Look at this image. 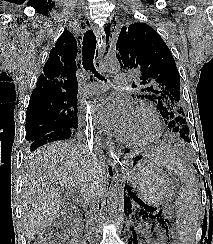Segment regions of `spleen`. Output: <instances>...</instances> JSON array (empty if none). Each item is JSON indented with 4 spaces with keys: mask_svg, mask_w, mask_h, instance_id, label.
I'll return each instance as SVG.
<instances>
[{
    "mask_svg": "<svg viewBox=\"0 0 213 244\" xmlns=\"http://www.w3.org/2000/svg\"><path fill=\"white\" fill-rule=\"evenodd\" d=\"M166 167L181 176L183 187L175 201L178 236L182 244H194L195 235L202 222L199 183L190 166L175 156L164 160Z\"/></svg>",
    "mask_w": 213,
    "mask_h": 244,
    "instance_id": "3e777b00",
    "label": "spleen"
}]
</instances>
